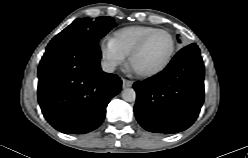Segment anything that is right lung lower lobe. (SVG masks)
<instances>
[{
  "label": "right lung lower lobe",
  "mask_w": 248,
  "mask_h": 158,
  "mask_svg": "<svg viewBox=\"0 0 248 158\" xmlns=\"http://www.w3.org/2000/svg\"><path fill=\"white\" fill-rule=\"evenodd\" d=\"M101 52L88 39H52L38 69V101L46 120L65 134L88 133L103 122L122 81L101 70Z\"/></svg>",
  "instance_id": "obj_1"
}]
</instances>
